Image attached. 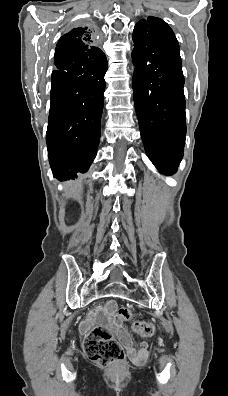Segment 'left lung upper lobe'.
Segmentation results:
<instances>
[{"label":"left lung upper lobe","instance_id":"5c2ea615","mask_svg":"<svg viewBox=\"0 0 228 396\" xmlns=\"http://www.w3.org/2000/svg\"><path fill=\"white\" fill-rule=\"evenodd\" d=\"M152 35L178 44L172 29L160 18L150 16L147 19L140 20L135 25L133 37L140 38Z\"/></svg>","mask_w":228,"mask_h":396}]
</instances>
